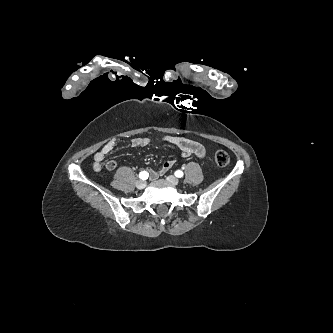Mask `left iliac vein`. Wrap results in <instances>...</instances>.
I'll return each mask as SVG.
<instances>
[{"label": "left iliac vein", "mask_w": 333, "mask_h": 333, "mask_svg": "<svg viewBox=\"0 0 333 333\" xmlns=\"http://www.w3.org/2000/svg\"><path fill=\"white\" fill-rule=\"evenodd\" d=\"M167 181L173 185H177L179 183V179L172 175L167 177Z\"/></svg>", "instance_id": "left-iliac-vein-1"}]
</instances>
